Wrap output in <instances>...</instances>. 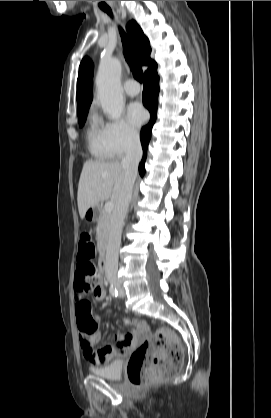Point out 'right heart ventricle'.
Instances as JSON below:
<instances>
[{"mask_svg":"<svg viewBox=\"0 0 271 418\" xmlns=\"http://www.w3.org/2000/svg\"><path fill=\"white\" fill-rule=\"evenodd\" d=\"M87 146L91 155L100 160H107L114 157L105 137L104 125L99 119L92 115L86 131Z\"/></svg>","mask_w":271,"mask_h":418,"instance_id":"right-heart-ventricle-1","label":"right heart ventricle"}]
</instances>
